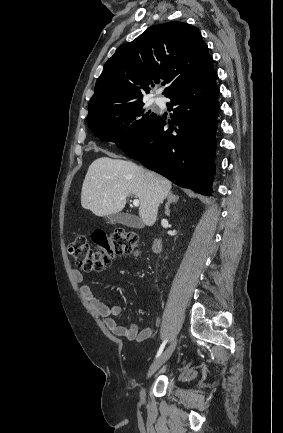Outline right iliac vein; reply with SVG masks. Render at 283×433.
<instances>
[{"mask_svg": "<svg viewBox=\"0 0 283 433\" xmlns=\"http://www.w3.org/2000/svg\"><path fill=\"white\" fill-rule=\"evenodd\" d=\"M177 345V338L175 337L166 350L151 364L147 372V379L150 378L172 355ZM141 402L146 401V389L143 387L140 393Z\"/></svg>", "mask_w": 283, "mask_h": 433, "instance_id": "1", "label": "right iliac vein"}]
</instances>
